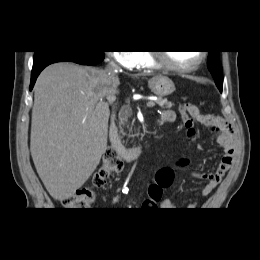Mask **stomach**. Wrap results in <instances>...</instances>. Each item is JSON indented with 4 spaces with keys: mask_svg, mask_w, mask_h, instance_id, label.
<instances>
[{
    "mask_svg": "<svg viewBox=\"0 0 260 260\" xmlns=\"http://www.w3.org/2000/svg\"><path fill=\"white\" fill-rule=\"evenodd\" d=\"M150 90L158 97H166L175 91L173 81L166 76H155L148 81Z\"/></svg>",
    "mask_w": 260,
    "mask_h": 260,
    "instance_id": "1",
    "label": "stomach"
}]
</instances>
